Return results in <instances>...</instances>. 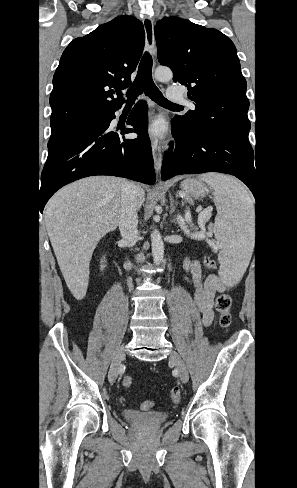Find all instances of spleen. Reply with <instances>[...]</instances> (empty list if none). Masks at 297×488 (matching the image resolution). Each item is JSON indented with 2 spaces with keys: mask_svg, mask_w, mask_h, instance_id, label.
<instances>
[{
  "mask_svg": "<svg viewBox=\"0 0 297 488\" xmlns=\"http://www.w3.org/2000/svg\"><path fill=\"white\" fill-rule=\"evenodd\" d=\"M198 178L213 190L217 209L213 231L221 245L219 275L224 282L234 284L243 277L253 252L252 199L235 178L218 173H205Z\"/></svg>",
  "mask_w": 297,
  "mask_h": 488,
  "instance_id": "spleen-1",
  "label": "spleen"
}]
</instances>
